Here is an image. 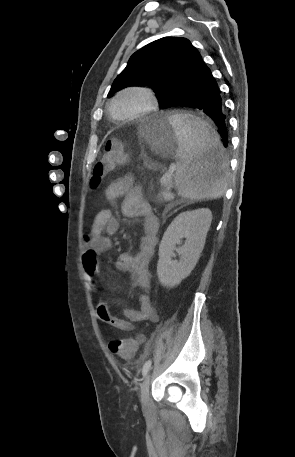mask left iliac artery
Segmentation results:
<instances>
[{"label":"left iliac artery","mask_w":295,"mask_h":457,"mask_svg":"<svg viewBox=\"0 0 295 457\" xmlns=\"http://www.w3.org/2000/svg\"><path fill=\"white\" fill-rule=\"evenodd\" d=\"M151 364H152V361L151 360H148L145 362V364L143 365V369H142V375L145 377L147 375V373L149 372L150 368H151Z\"/></svg>","instance_id":"obj_1"}]
</instances>
